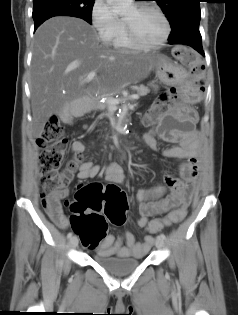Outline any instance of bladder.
<instances>
[{"mask_svg":"<svg viewBox=\"0 0 238 315\" xmlns=\"http://www.w3.org/2000/svg\"><path fill=\"white\" fill-rule=\"evenodd\" d=\"M93 260L108 273L118 276L132 272L142 261L137 258L106 257L98 254L94 255Z\"/></svg>","mask_w":238,"mask_h":315,"instance_id":"1","label":"bladder"}]
</instances>
